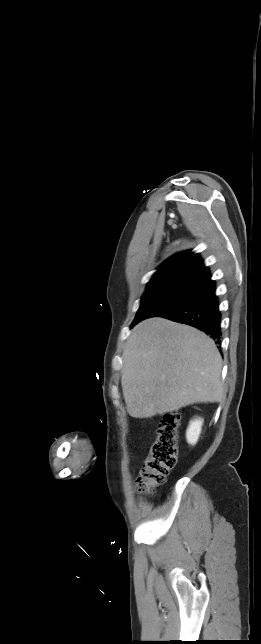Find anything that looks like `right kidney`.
<instances>
[{"label": "right kidney", "mask_w": 261, "mask_h": 644, "mask_svg": "<svg viewBox=\"0 0 261 644\" xmlns=\"http://www.w3.org/2000/svg\"><path fill=\"white\" fill-rule=\"evenodd\" d=\"M203 424L202 419H194L190 422L189 427L186 432V438L189 444L194 445L198 441L199 435L201 433V427Z\"/></svg>", "instance_id": "1"}]
</instances>
